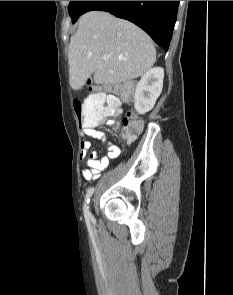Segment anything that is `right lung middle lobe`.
I'll use <instances>...</instances> for the list:
<instances>
[{"label":"right lung middle lobe","mask_w":233,"mask_h":295,"mask_svg":"<svg viewBox=\"0 0 233 295\" xmlns=\"http://www.w3.org/2000/svg\"><path fill=\"white\" fill-rule=\"evenodd\" d=\"M85 3L86 1H70L68 11L73 23H75L79 16L82 15L81 12Z\"/></svg>","instance_id":"obj_1"}]
</instances>
